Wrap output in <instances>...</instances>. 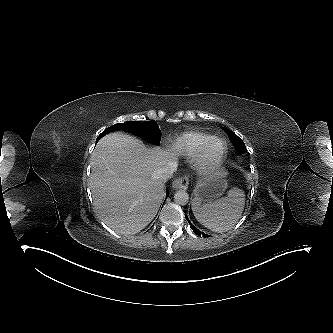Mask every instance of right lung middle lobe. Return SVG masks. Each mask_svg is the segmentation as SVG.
I'll list each match as a JSON object with an SVG mask.
<instances>
[{"label": "right lung middle lobe", "instance_id": "obj_1", "mask_svg": "<svg viewBox=\"0 0 333 333\" xmlns=\"http://www.w3.org/2000/svg\"><path fill=\"white\" fill-rule=\"evenodd\" d=\"M122 130L132 133L145 141L152 142L156 145L160 143L161 131L156 123V121H127L124 123H119L112 125L105 131L110 133L112 131Z\"/></svg>", "mask_w": 333, "mask_h": 333}]
</instances>
